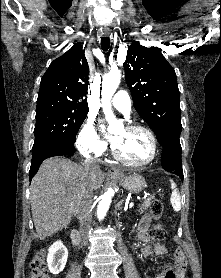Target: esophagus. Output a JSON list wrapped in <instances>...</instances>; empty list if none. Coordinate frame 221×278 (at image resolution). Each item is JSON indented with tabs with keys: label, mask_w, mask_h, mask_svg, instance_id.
Returning <instances> with one entry per match:
<instances>
[{
	"label": "esophagus",
	"mask_w": 221,
	"mask_h": 278,
	"mask_svg": "<svg viewBox=\"0 0 221 278\" xmlns=\"http://www.w3.org/2000/svg\"><path fill=\"white\" fill-rule=\"evenodd\" d=\"M103 35L104 36H108L110 35V30L109 29H104L103 30ZM108 174L110 176H120L121 175V172L119 169L115 168V167H111L109 170H108Z\"/></svg>",
	"instance_id": "obj_1"
}]
</instances>
